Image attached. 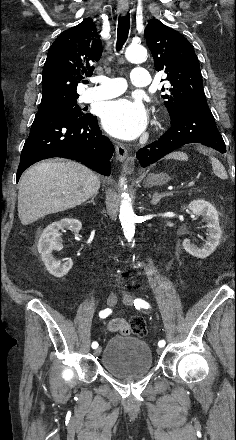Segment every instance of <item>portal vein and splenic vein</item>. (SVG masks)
<instances>
[{
	"label": "portal vein and splenic vein",
	"mask_w": 236,
	"mask_h": 440,
	"mask_svg": "<svg viewBox=\"0 0 236 440\" xmlns=\"http://www.w3.org/2000/svg\"><path fill=\"white\" fill-rule=\"evenodd\" d=\"M194 184H195V182L191 181L190 183H188L187 187H192V186H194Z\"/></svg>",
	"instance_id": "portal-vein-and-splenic-vein-1"
}]
</instances>
